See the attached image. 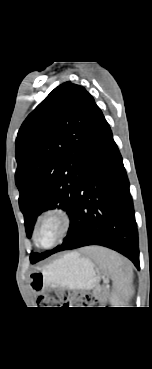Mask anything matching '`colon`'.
Returning <instances> with one entry per match:
<instances>
[{
	"instance_id": "5ec220e1",
	"label": "colon",
	"mask_w": 152,
	"mask_h": 369,
	"mask_svg": "<svg viewBox=\"0 0 152 369\" xmlns=\"http://www.w3.org/2000/svg\"><path fill=\"white\" fill-rule=\"evenodd\" d=\"M92 302L94 299L88 294L63 289H58L39 299V304L47 307H87Z\"/></svg>"
}]
</instances>
